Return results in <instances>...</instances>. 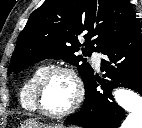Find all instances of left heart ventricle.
Returning <instances> with one entry per match:
<instances>
[{"label":"left heart ventricle","instance_id":"1","mask_svg":"<svg viewBox=\"0 0 142 128\" xmlns=\"http://www.w3.org/2000/svg\"><path fill=\"white\" fill-rule=\"evenodd\" d=\"M75 89L70 76L66 73L51 75L42 90L41 102L44 109L59 113L70 107L74 100Z\"/></svg>","mask_w":142,"mask_h":128}]
</instances>
